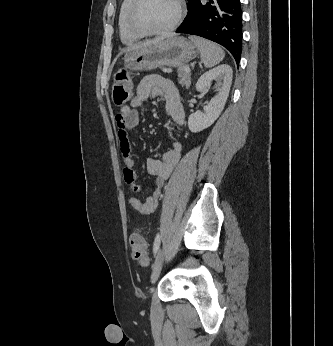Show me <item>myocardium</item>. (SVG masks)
<instances>
[{"label": "myocardium", "instance_id": "obj_1", "mask_svg": "<svg viewBox=\"0 0 333 346\" xmlns=\"http://www.w3.org/2000/svg\"><path fill=\"white\" fill-rule=\"evenodd\" d=\"M175 1H176L177 10H176L175 18L172 21V23L163 29L150 30V29H147L146 27L142 26L138 20V12H139L140 7L143 4L144 0H134L132 6L130 8L129 15H128L129 28L134 33L141 35V36H159V35H164V34H167L171 31H173L181 23L183 16H184V12H185L184 0H175Z\"/></svg>", "mask_w": 333, "mask_h": 346}]
</instances>
